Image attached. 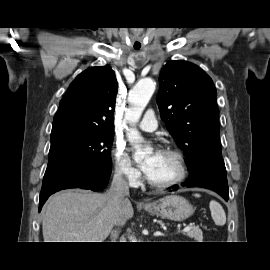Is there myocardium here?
<instances>
[{"label":"myocardium","instance_id":"obj_1","mask_svg":"<svg viewBox=\"0 0 270 270\" xmlns=\"http://www.w3.org/2000/svg\"><path fill=\"white\" fill-rule=\"evenodd\" d=\"M162 153L173 156L176 159L178 163L179 171H178V175L175 178H173L170 181L162 182V183L154 182L148 176H146L147 183L151 187L155 189H159V190L173 188L181 184L186 179L187 174H188L186 158L181 151L177 149L168 148V149L163 150Z\"/></svg>","mask_w":270,"mask_h":270}]
</instances>
